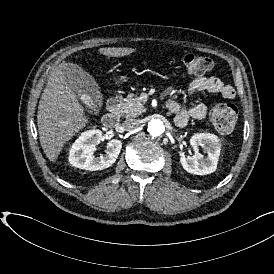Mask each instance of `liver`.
<instances>
[{
  "label": "liver",
  "mask_w": 274,
  "mask_h": 274,
  "mask_svg": "<svg viewBox=\"0 0 274 274\" xmlns=\"http://www.w3.org/2000/svg\"><path fill=\"white\" fill-rule=\"evenodd\" d=\"M136 51L137 48L105 47L99 48L97 53L118 58ZM81 70L80 66L63 61L53 69L40 97L37 112L39 140L44 154L53 163L58 160L65 144L89 127L93 120L85 113L72 88V77Z\"/></svg>",
  "instance_id": "obj_1"
}]
</instances>
